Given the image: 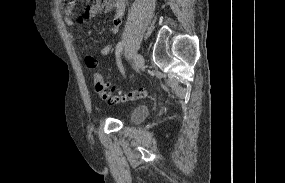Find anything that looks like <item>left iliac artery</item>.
I'll use <instances>...</instances> for the list:
<instances>
[{
    "mask_svg": "<svg viewBox=\"0 0 285 183\" xmlns=\"http://www.w3.org/2000/svg\"><path fill=\"white\" fill-rule=\"evenodd\" d=\"M123 47H124V42H123V41H122V42H119V43L116 45V51H115V54H116V57H117L118 67L120 68V71H121L122 73H124V69H123V67H122V65H121V62H120V60H119V56H120V53H121Z\"/></svg>",
    "mask_w": 285,
    "mask_h": 183,
    "instance_id": "1",
    "label": "left iliac artery"
}]
</instances>
